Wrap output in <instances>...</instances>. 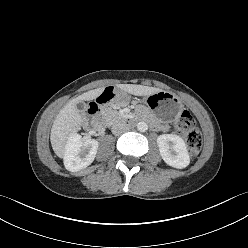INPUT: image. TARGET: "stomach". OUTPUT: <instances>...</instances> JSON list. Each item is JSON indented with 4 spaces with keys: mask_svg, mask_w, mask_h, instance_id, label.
<instances>
[{
    "mask_svg": "<svg viewBox=\"0 0 248 248\" xmlns=\"http://www.w3.org/2000/svg\"><path fill=\"white\" fill-rule=\"evenodd\" d=\"M128 97L124 91L119 94V102L125 103ZM141 105H145L148 110L163 122L173 121L182 110L180 99L167 91H160L152 95L141 96L138 99Z\"/></svg>",
    "mask_w": 248,
    "mask_h": 248,
    "instance_id": "1",
    "label": "stomach"
}]
</instances>
